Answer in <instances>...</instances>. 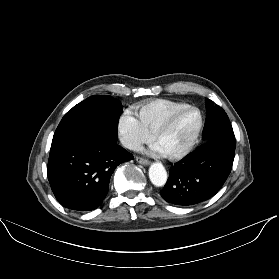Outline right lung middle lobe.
Here are the masks:
<instances>
[{
  "label": "right lung middle lobe",
  "mask_w": 279,
  "mask_h": 279,
  "mask_svg": "<svg viewBox=\"0 0 279 279\" xmlns=\"http://www.w3.org/2000/svg\"><path fill=\"white\" fill-rule=\"evenodd\" d=\"M122 111L121 102L111 96H91L64 115L54 133L52 144L67 142L103 127L117 130Z\"/></svg>",
  "instance_id": "right-lung-middle-lobe-1"
}]
</instances>
